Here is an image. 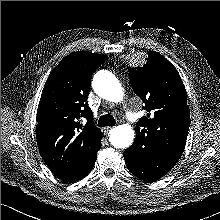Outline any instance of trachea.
I'll return each instance as SVG.
<instances>
[{"label": "trachea", "mask_w": 220, "mask_h": 220, "mask_svg": "<svg viewBox=\"0 0 220 220\" xmlns=\"http://www.w3.org/2000/svg\"><path fill=\"white\" fill-rule=\"evenodd\" d=\"M116 123L113 116L107 114L103 115L98 120V126L105 127V126H113Z\"/></svg>", "instance_id": "1"}]
</instances>
